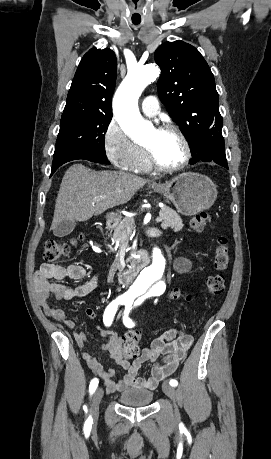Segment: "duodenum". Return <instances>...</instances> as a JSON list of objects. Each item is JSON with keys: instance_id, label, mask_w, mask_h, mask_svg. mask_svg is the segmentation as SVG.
Returning <instances> with one entry per match:
<instances>
[{"instance_id": "1", "label": "duodenum", "mask_w": 271, "mask_h": 459, "mask_svg": "<svg viewBox=\"0 0 271 459\" xmlns=\"http://www.w3.org/2000/svg\"><path fill=\"white\" fill-rule=\"evenodd\" d=\"M116 225V221L113 217H109L107 219V227L109 229H113ZM146 264V259L143 256H139L132 262L131 266L128 270L123 272L119 276V282L122 285H129L134 278L138 275V273L143 269Z\"/></svg>"}]
</instances>
